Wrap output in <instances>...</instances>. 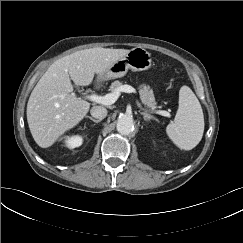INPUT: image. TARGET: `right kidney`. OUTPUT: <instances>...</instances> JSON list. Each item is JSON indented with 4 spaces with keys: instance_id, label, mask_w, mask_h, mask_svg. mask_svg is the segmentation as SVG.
<instances>
[{
    "instance_id": "right-kidney-1",
    "label": "right kidney",
    "mask_w": 243,
    "mask_h": 243,
    "mask_svg": "<svg viewBox=\"0 0 243 243\" xmlns=\"http://www.w3.org/2000/svg\"><path fill=\"white\" fill-rule=\"evenodd\" d=\"M64 143L68 148L73 149L82 145L83 138L80 135L67 136Z\"/></svg>"
}]
</instances>
